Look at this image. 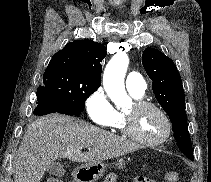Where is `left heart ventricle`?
I'll return each mask as SVG.
<instances>
[{"label": "left heart ventricle", "mask_w": 211, "mask_h": 182, "mask_svg": "<svg viewBox=\"0 0 211 182\" xmlns=\"http://www.w3.org/2000/svg\"><path fill=\"white\" fill-rule=\"evenodd\" d=\"M134 120L135 132L145 140L158 139L165 130V123L161 115L152 108H145L139 111L132 106L128 111Z\"/></svg>", "instance_id": "obj_1"}]
</instances>
